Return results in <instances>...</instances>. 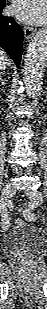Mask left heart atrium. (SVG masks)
I'll use <instances>...</instances> for the list:
<instances>
[{"instance_id": "1", "label": "left heart atrium", "mask_w": 47, "mask_h": 309, "mask_svg": "<svg viewBox=\"0 0 47 309\" xmlns=\"http://www.w3.org/2000/svg\"><path fill=\"white\" fill-rule=\"evenodd\" d=\"M12 12L25 23H43L46 19V2L45 0H15Z\"/></svg>"}]
</instances>
